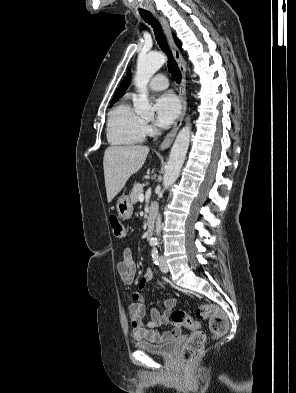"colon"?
<instances>
[{"label": "colon", "mask_w": 296, "mask_h": 393, "mask_svg": "<svg viewBox=\"0 0 296 393\" xmlns=\"http://www.w3.org/2000/svg\"><path fill=\"white\" fill-rule=\"evenodd\" d=\"M113 234L116 238L123 239L126 237V229L116 216L110 218ZM197 317L200 319H209L210 330L214 337L224 335L228 330V319L225 313L215 304H204L197 309ZM170 319L177 325H183L190 329L196 330L189 339L184 343L181 349V359L186 366L192 362L202 352L206 335L199 331V324L189 314L183 310H173Z\"/></svg>", "instance_id": "1"}]
</instances>
